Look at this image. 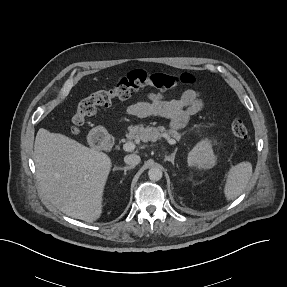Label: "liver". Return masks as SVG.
I'll list each match as a JSON object with an SVG mask.
<instances>
[{
	"instance_id": "liver-1",
	"label": "liver",
	"mask_w": 287,
	"mask_h": 287,
	"mask_svg": "<svg viewBox=\"0 0 287 287\" xmlns=\"http://www.w3.org/2000/svg\"><path fill=\"white\" fill-rule=\"evenodd\" d=\"M33 158L41 191L51 204L75 219L91 223L100 218L112 167L106 153L41 128Z\"/></svg>"
}]
</instances>
